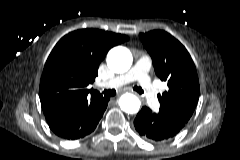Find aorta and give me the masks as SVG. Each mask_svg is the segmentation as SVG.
Segmentation results:
<instances>
[{
	"label": "aorta",
	"mask_w": 240,
	"mask_h": 160,
	"mask_svg": "<svg viewBox=\"0 0 240 160\" xmlns=\"http://www.w3.org/2000/svg\"><path fill=\"white\" fill-rule=\"evenodd\" d=\"M107 65L115 73H125L132 65L131 52L122 46L112 48L107 54ZM140 100L137 96L126 93L119 99V106L122 111L128 114H135L139 111Z\"/></svg>",
	"instance_id": "762f6f07"
}]
</instances>
